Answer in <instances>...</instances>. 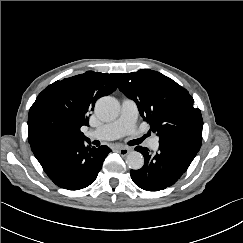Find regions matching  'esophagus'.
<instances>
[{
    "mask_svg": "<svg viewBox=\"0 0 243 243\" xmlns=\"http://www.w3.org/2000/svg\"><path fill=\"white\" fill-rule=\"evenodd\" d=\"M117 151L121 155L125 156V155H127L129 153V148H127V147H121V148H118Z\"/></svg>",
    "mask_w": 243,
    "mask_h": 243,
    "instance_id": "obj_1",
    "label": "esophagus"
}]
</instances>
